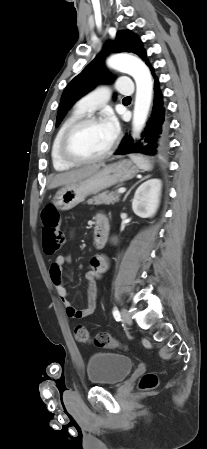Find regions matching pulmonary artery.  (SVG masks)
<instances>
[{
  "label": "pulmonary artery",
  "mask_w": 207,
  "mask_h": 449,
  "mask_svg": "<svg viewBox=\"0 0 207 449\" xmlns=\"http://www.w3.org/2000/svg\"><path fill=\"white\" fill-rule=\"evenodd\" d=\"M116 89L123 95H132L134 92L133 85L129 78L122 79ZM111 90V87L106 85L96 88L94 91L85 95L77 103V108L83 112H92L96 110L109 99Z\"/></svg>",
  "instance_id": "e3ab8cb5"
}]
</instances>
